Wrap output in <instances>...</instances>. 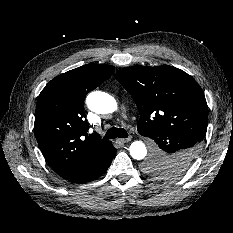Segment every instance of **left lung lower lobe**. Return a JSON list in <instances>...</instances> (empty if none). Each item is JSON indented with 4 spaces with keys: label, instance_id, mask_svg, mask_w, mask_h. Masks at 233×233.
I'll list each match as a JSON object with an SVG mask.
<instances>
[{
    "label": "left lung lower lobe",
    "instance_id": "obj_1",
    "mask_svg": "<svg viewBox=\"0 0 233 233\" xmlns=\"http://www.w3.org/2000/svg\"><path fill=\"white\" fill-rule=\"evenodd\" d=\"M156 143L154 155L164 157L177 169L186 171L193 163L199 152V143L195 142L196 137L181 131L157 130L148 136ZM178 174L169 170L162 173L159 178H174Z\"/></svg>",
    "mask_w": 233,
    "mask_h": 233
}]
</instances>
